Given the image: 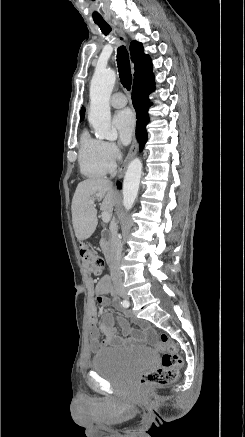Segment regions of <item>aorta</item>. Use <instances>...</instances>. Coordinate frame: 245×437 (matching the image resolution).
Segmentation results:
<instances>
[{
  "mask_svg": "<svg viewBox=\"0 0 245 437\" xmlns=\"http://www.w3.org/2000/svg\"><path fill=\"white\" fill-rule=\"evenodd\" d=\"M116 81L115 71L112 69H96L90 84V112L88 120L99 139L116 140L117 131L111 126L110 96ZM142 162L133 159L125 173L123 182V205L130 210L137 198Z\"/></svg>",
  "mask_w": 245,
  "mask_h": 437,
  "instance_id": "762f6f07",
  "label": "aorta"
}]
</instances>
